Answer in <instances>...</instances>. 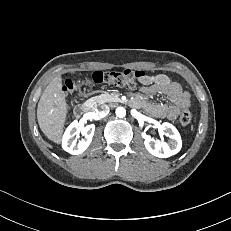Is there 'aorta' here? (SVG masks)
Wrapping results in <instances>:
<instances>
[{
	"label": "aorta",
	"mask_w": 231,
	"mask_h": 231,
	"mask_svg": "<svg viewBox=\"0 0 231 231\" xmlns=\"http://www.w3.org/2000/svg\"><path fill=\"white\" fill-rule=\"evenodd\" d=\"M116 115H117V117H119V118L125 117V115H126V110H125V108H123V107H117V108H116Z\"/></svg>",
	"instance_id": "obj_1"
}]
</instances>
